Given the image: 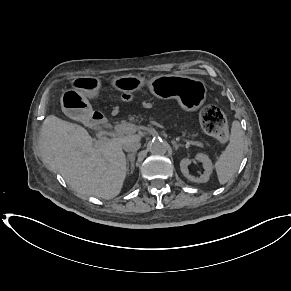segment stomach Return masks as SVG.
Wrapping results in <instances>:
<instances>
[{
  "instance_id": "stomach-1",
  "label": "stomach",
  "mask_w": 291,
  "mask_h": 291,
  "mask_svg": "<svg viewBox=\"0 0 291 291\" xmlns=\"http://www.w3.org/2000/svg\"><path fill=\"white\" fill-rule=\"evenodd\" d=\"M73 88L63 92L61 107L69 117L82 120L91 112V105L83 92L90 96L98 94L101 82L97 77L83 76L73 80ZM158 98L177 99L186 111H197L205 102L207 90L202 80L183 75H159L148 82L135 75H122L112 80V86L120 91H136L145 84Z\"/></svg>"
}]
</instances>
